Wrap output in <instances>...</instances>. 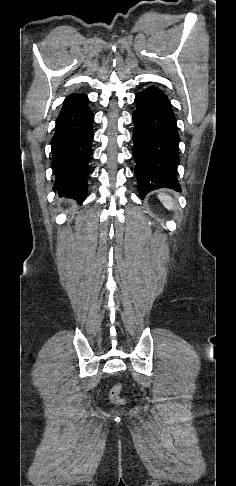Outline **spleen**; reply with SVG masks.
Returning <instances> with one entry per match:
<instances>
[{"label": "spleen", "mask_w": 236, "mask_h": 486, "mask_svg": "<svg viewBox=\"0 0 236 486\" xmlns=\"http://www.w3.org/2000/svg\"><path fill=\"white\" fill-rule=\"evenodd\" d=\"M159 200L162 202V204L169 210H174L175 209V203L173 199L168 196L165 193H160L158 195Z\"/></svg>", "instance_id": "spleen-1"}]
</instances>
